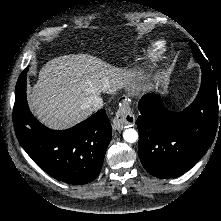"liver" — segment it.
I'll use <instances>...</instances> for the list:
<instances>
[{
    "label": "liver",
    "mask_w": 221,
    "mask_h": 221,
    "mask_svg": "<svg viewBox=\"0 0 221 221\" xmlns=\"http://www.w3.org/2000/svg\"><path fill=\"white\" fill-rule=\"evenodd\" d=\"M136 69L126 71L107 65L96 57L77 54L56 57L45 64L30 90L29 104L40 121L52 128H67L85 119L92 110L86 99L100 93L112 94L128 87L138 92L144 76ZM168 74L157 77L156 85ZM150 90L152 87H143Z\"/></svg>",
    "instance_id": "6515ba94"
}]
</instances>
